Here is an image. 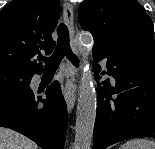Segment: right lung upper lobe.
<instances>
[{
  "mask_svg": "<svg viewBox=\"0 0 155 149\" xmlns=\"http://www.w3.org/2000/svg\"><path fill=\"white\" fill-rule=\"evenodd\" d=\"M62 8L58 0H12L0 11V68L34 75L43 65L35 55L50 54L55 41L51 38Z\"/></svg>",
  "mask_w": 155,
  "mask_h": 149,
  "instance_id": "obj_1",
  "label": "right lung upper lobe"
}]
</instances>
